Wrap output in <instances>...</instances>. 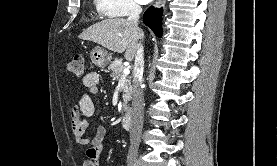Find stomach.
I'll use <instances>...</instances> for the list:
<instances>
[{"label": "stomach", "mask_w": 277, "mask_h": 166, "mask_svg": "<svg viewBox=\"0 0 277 166\" xmlns=\"http://www.w3.org/2000/svg\"><path fill=\"white\" fill-rule=\"evenodd\" d=\"M92 63L100 68H105L111 61V54L102 47H95L90 53Z\"/></svg>", "instance_id": "0dacf381"}]
</instances>
